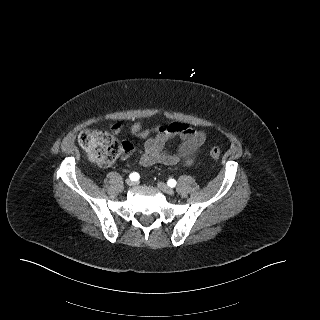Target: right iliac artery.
Segmentation results:
<instances>
[{
    "instance_id": "obj_1",
    "label": "right iliac artery",
    "mask_w": 320,
    "mask_h": 320,
    "mask_svg": "<svg viewBox=\"0 0 320 320\" xmlns=\"http://www.w3.org/2000/svg\"><path fill=\"white\" fill-rule=\"evenodd\" d=\"M129 178L132 180V181H136L139 179V174L136 173V172H133L129 175Z\"/></svg>"
}]
</instances>
